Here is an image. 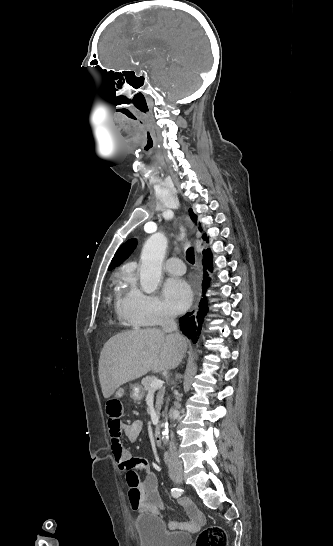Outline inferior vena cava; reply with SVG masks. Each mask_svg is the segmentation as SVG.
Segmentation results:
<instances>
[{
  "label": "inferior vena cava",
  "instance_id": "obj_1",
  "mask_svg": "<svg viewBox=\"0 0 333 546\" xmlns=\"http://www.w3.org/2000/svg\"><path fill=\"white\" fill-rule=\"evenodd\" d=\"M162 329L166 333H173L174 336L178 338L180 344H183V337L177 332V323L174 320V317L170 314H165L162 319ZM184 352V351H183ZM176 411L171 409L170 410V418L172 419L175 415ZM182 463L178 458V453L176 450V446L173 441L170 442L169 452H168V467H181Z\"/></svg>",
  "mask_w": 333,
  "mask_h": 546
}]
</instances>
